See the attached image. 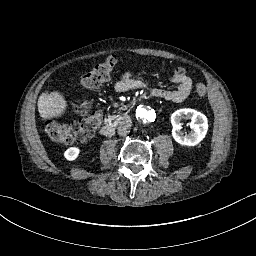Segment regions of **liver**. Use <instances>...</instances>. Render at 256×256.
I'll return each instance as SVG.
<instances>
[{
	"mask_svg": "<svg viewBox=\"0 0 256 256\" xmlns=\"http://www.w3.org/2000/svg\"><path fill=\"white\" fill-rule=\"evenodd\" d=\"M38 112L42 120H53L62 118L69 109L68 100L65 95L58 91L45 89L39 95L37 102Z\"/></svg>",
	"mask_w": 256,
	"mask_h": 256,
	"instance_id": "1",
	"label": "liver"
}]
</instances>
